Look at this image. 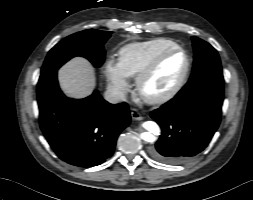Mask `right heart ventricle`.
I'll return each mask as SVG.
<instances>
[{
	"instance_id": "e07e8e85",
	"label": "right heart ventricle",
	"mask_w": 253,
	"mask_h": 200,
	"mask_svg": "<svg viewBox=\"0 0 253 200\" xmlns=\"http://www.w3.org/2000/svg\"><path fill=\"white\" fill-rule=\"evenodd\" d=\"M178 46L167 38L133 42L119 50V64L128 77L137 76L160 52Z\"/></svg>"
}]
</instances>
